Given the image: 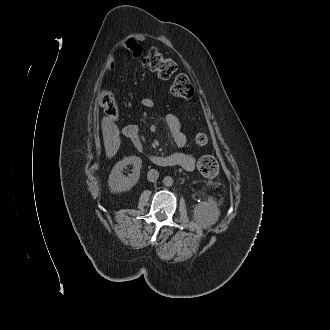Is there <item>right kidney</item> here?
Instances as JSON below:
<instances>
[{
  "mask_svg": "<svg viewBox=\"0 0 330 330\" xmlns=\"http://www.w3.org/2000/svg\"><path fill=\"white\" fill-rule=\"evenodd\" d=\"M127 165H133L132 173L128 176L123 174V170ZM142 160L137 156L125 157L117 162L112 168L108 178L110 190L114 193L130 190L140 178V169Z\"/></svg>",
  "mask_w": 330,
  "mask_h": 330,
  "instance_id": "ca27d5eb",
  "label": "right kidney"
}]
</instances>
